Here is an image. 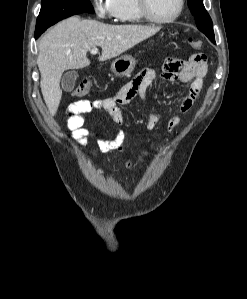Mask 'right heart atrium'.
Instances as JSON below:
<instances>
[{
    "label": "right heart atrium",
    "mask_w": 247,
    "mask_h": 299,
    "mask_svg": "<svg viewBox=\"0 0 247 299\" xmlns=\"http://www.w3.org/2000/svg\"><path fill=\"white\" fill-rule=\"evenodd\" d=\"M95 14L100 19L113 16L112 0H91Z\"/></svg>",
    "instance_id": "obj_1"
}]
</instances>
